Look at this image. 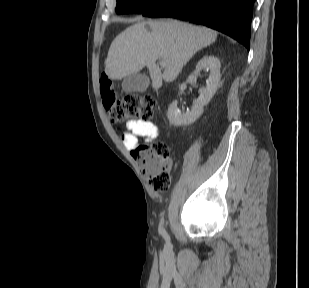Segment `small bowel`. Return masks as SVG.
I'll return each mask as SVG.
<instances>
[{"label":"small bowel","instance_id":"c3829d8e","mask_svg":"<svg viewBox=\"0 0 309 288\" xmlns=\"http://www.w3.org/2000/svg\"><path fill=\"white\" fill-rule=\"evenodd\" d=\"M127 131L122 135L125 147L133 152L142 138L145 142H154L159 136V128L149 121L130 120L126 124Z\"/></svg>","mask_w":309,"mask_h":288}]
</instances>
